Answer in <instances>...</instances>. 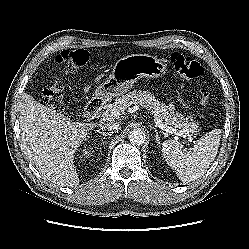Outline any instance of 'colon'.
I'll return each instance as SVG.
<instances>
[{
	"instance_id": "5ec220e1",
	"label": "colon",
	"mask_w": 249,
	"mask_h": 249,
	"mask_svg": "<svg viewBox=\"0 0 249 249\" xmlns=\"http://www.w3.org/2000/svg\"><path fill=\"white\" fill-rule=\"evenodd\" d=\"M89 54L87 51L78 50H63L56 57V63L61 67L62 75H68L77 72L87 64ZM170 62L173 69L184 79L194 80L202 76L203 67L200 63L189 56L174 52L170 56ZM64 94L65 89L61 79H56L50 83L42 92V100L44 104L55 111L64 109ZM200 104L206 106L210 102V91L206 88H201L199 91Z\"/></svg>"
}]
</instances>
